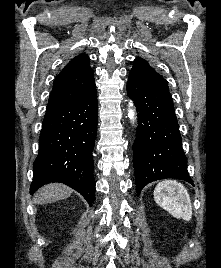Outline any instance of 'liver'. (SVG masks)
Here are the masks:
<instances>
[{
  "instance_id": "6515ba94",
  "label": "liver",
  "mask_w": 221,
  "mask_h": 268,
  "mask_svg": "<svg viewBox=\"0 0 221 268\" xmlns=\"http://www.w3.org/2000/svg\"><path fill=\"white\" fill-rule=\"evenodd\" d=\"M72 193V189L60 183H52L40 188L34 198L33 202L38 205L47 204L62 199L68 198Z\"/></svg>"
}]
</instances>
